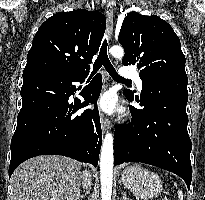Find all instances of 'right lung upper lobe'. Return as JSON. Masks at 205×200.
Masks as SVG:
<instances>
[{
  "label": "right lung upper lobe",
  "instance_id": "right-lung-upper-lobe-1",
  "mask_svg": "<svg viewBox=\"0 0 205 200\" xmlns=\"http://www.w3.org/2000/svg\"><path fill=\"white\" fill-rule=\"evenodd\" d=\"M105 27L106 18L97 11L79 9L56 13L35 34L24 72L87 74Z\"/></svg>",
  "mask_w": 205,
  "mask_h": 200
}]
</instances>
